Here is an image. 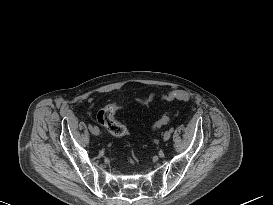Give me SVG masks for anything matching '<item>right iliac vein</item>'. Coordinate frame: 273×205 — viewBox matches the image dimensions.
Returning <instances> with one entry per match:
<instances>
[{"instance_id":"63e3f726","label":"right iliac vein","mask_w":273,"mask_h":205,"mask_svg":"<svg viewBox=\"0 0 273 205\" xmlns=\"http://www.w3.org/2000/svg\"><path fill=\"white\" fill-rule=\"evenodd\" d=\"M90 131L94 135H99V133H100L99 128L97 126H93Z\"/></svg>"}]
</instances>
